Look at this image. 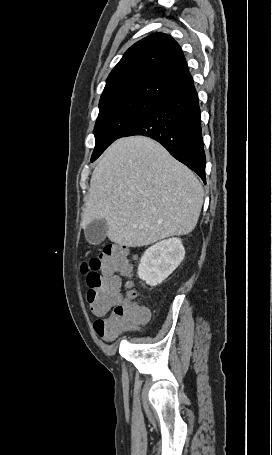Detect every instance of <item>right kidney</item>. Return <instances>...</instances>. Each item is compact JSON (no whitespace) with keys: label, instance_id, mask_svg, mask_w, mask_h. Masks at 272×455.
Segmentation results:
<instances>
[{"label":"right kidney","instance_id":"obj_1","mask_svg":"<svg viewBox=\"0 0 272 455\" xmlns=\"http://www.w3.org/2000/svg\"><path fill=\"white\" fill-rule=\"evenodd\" d=\"M185 249L182 240L170 238L149 247L141 257L138 276L150 286L162 283L182 262Z\"/></svg>","mask_w":272,"mask_h":455}]
</instances>
